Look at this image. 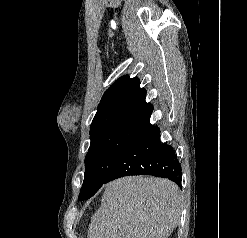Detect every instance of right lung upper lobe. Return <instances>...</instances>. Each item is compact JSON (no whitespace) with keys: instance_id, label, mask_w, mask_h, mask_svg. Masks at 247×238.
<instances>
[{"instance_id":"obj_1","label":"right lung upper lobe","mask_w":247,"mask_h":238,"mask_svg":"<svg viewBox=\"0 0 247 238\" xmlns=\"http://www.w3.org/2000/svg\"><path fill=\"white\" fill-rule=\"evenodd\" d=\"M146 91L138 78L120 77L103 95L91 124L90 134L124 120L149 121L153 106L145 101Z\"/></svg>"}]
</instances>
